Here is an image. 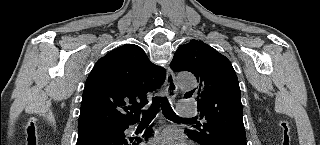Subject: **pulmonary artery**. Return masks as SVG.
I'll list each match as a JSON object with an SVG mask.
<instances>
[{"mask_svg": "<svg viewBox=\"0 0 320 145\" xmlns=\"http://www.w3.org/2000/svg\"><path fill=\"white\" fill-rule=\"evenodd\" d=\"M185 104H186V102H184V101H180L178 103L177 113L180 116H193L195 114L194 107L191 105L185 106Z\"/></svg>", "mask_w": 320, "mask_h": 145, "instance_id": "obj_1", "label": "pulmonary artery"}]
</instances>
